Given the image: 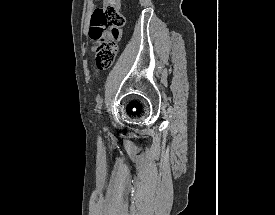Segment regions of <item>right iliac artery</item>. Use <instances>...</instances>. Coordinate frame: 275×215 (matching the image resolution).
<instances>
[{
  "mask_svg": "<svg viewBox=\"0 0 275 215\" xmlns=\"http://www.w3.org/2000/svg\"><path fill=\"white\" fill-rule=\"evenodd\" d=\"M101 103H102V101H101V99H99V109H101Z\"/></svg>",
  "mask_w": 275,
  "mask_h": 215,
  "instance_id": "right-iliac-artery-1",
  "label": "right iliac artery"
}]
</instances>
